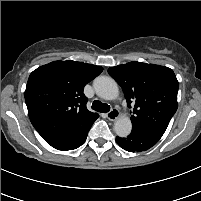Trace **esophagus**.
<instances>
[{"label": "esophagus", "instance_id": "obj_1", "mask_svg": "<svg viewBox=\"0 0 201 201\" xmlns=\"http://www.w3.org/2000/svg\"><path fill=\"white\" fill-rule=\"evenodd\" d=\"M120 116L118 109L113 108L110 112L107 113V118L111 121H115Z\"/></svg>", "mask_w": 201, "mask_h": 201}]
</instances>
